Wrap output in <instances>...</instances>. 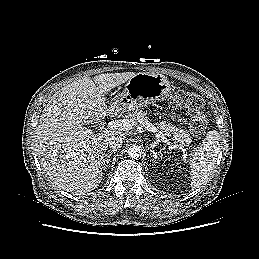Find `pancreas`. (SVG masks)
Returning a JSON list of instances; mask_svg holds the SVG:
<instances>
[{
	"mask_svg": "<svg viewBox=\"0 0 259 259\" xmlns=\"http://www.w3.org/2000/svg\"><path fill=\"white\" fill-rule=\"evenodd\" d=\"M147 114H148L147 112L140 110V111L129 113L127 115V118L134 122L135 121L139 122L140 120L148 121ZM154 124L161 131V133H163L168 137H171L172 140L179 142L180 144L188 146L192 141L188 132L179 126H175L170 122H166L164 120L155 122Z\"/></svg>",
	"mask_w": 259,
	"mask_h": 259,
	"instance_id": "obj_1",
	"label": "pancreas"
}]
</instances>
